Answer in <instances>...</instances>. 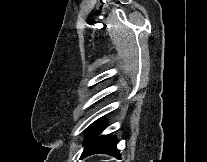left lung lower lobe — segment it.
Masks as SVG:
<instances>
[{
  "instance_id": "1",
  "label": "left lung lower lobe",
  "mask_w": 207,
  "mask_h": 162,
  "mask_svg": "<svg viewBox=\"0 0 207 162\" xmlns=\"http://www.w3.org/2000/svg\"><path fill=\"white\" fill-rule=\"evenodd\" d=\"M105 125L100 121L94 122L89 128L90 132L86 139V146L81 155V158L86 156L104 153L119 157V151L116 148L117 140L111 135L99 136L100 132L104 129Z\"/></svg>"
}]
</instances>
